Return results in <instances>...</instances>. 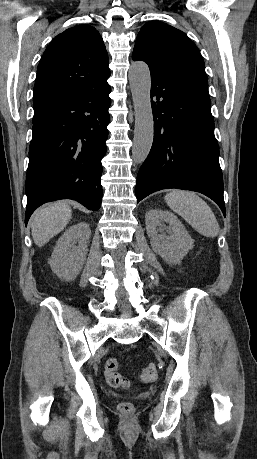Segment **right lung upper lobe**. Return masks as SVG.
<instances>
[{
  "instance_id": "right-lung-upper-lobe-1",
  "label": "right lung upper lobe",
  "mask_w": 257,
  "mask_h": 459,
  "mask_svg": "<svg viewBox=\"0 0 257 459\" xmlns=\"http://www.w3.org/2000/svg\"><path fill=\"white\" fill-rule=\"evenodd\" d=\"M102 37L89 25H78L57 35L37 68L33 105L80 94L100 86L110 76Z\"/></svg>"
}]
</instances>
